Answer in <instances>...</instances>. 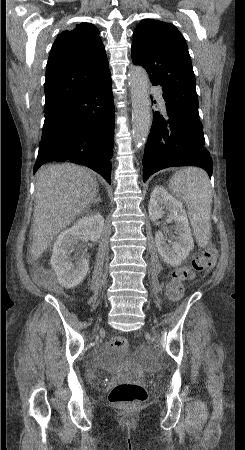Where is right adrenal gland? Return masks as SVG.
I'll return each mask as SVG.
<instances>
[{
	"label": "right adrenal gland",
	"mask_w": 245,
	"mask_h": 450,
	"mask_svg": "<svg viewBox=\"0 0 245 450\" xmlns=\"http://www.w3.org/2000/svg\"><path fill=\"white\" fill-rule=\"evenodd\" d=\"M97 202H101L100 196H98V197L94 200V204H96Z\"/></svg>",
	"instance_id": "1"
}]
</instances>
